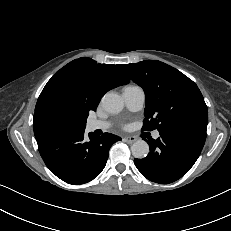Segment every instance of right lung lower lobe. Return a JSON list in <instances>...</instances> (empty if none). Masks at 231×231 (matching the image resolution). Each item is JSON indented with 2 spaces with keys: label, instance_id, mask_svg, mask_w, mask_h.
<instances>
[{
  "label": "right lung lower lobe",
  "instance_id": "1",
  "mask_svg": "<svg viewBox=\"0 0 231 231\" xmlns=\"http://www.w3.org/2000/svg\"><path fill=\"white\" fill-rule=\"evenodd\" d=\"M46 166L69 184H83L96 178L104 169L110 147L120 137L111 133L84 138V130L69 134L43 135L36 138Z\"/></svg>",
  "mask_w": 231,
  "mask_h": 231
}]
</instances>
